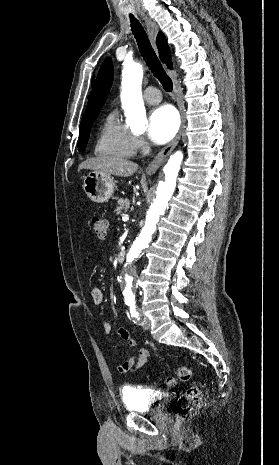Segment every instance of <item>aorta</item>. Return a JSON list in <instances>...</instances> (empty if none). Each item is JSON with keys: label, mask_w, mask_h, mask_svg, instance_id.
<instances>
[{"label": "aorta", "mask_w": 279, "mask_h": 465, "mask_svg": "<svg viewBox=\"0 0 279 465\" xmlns=\"http://www.w3.org/2000/svg\"><path fill=\"white\" fill-rule=\"evenodd\" d=\"M142 79V65L139 63H130L124 66L121 92L122 107L125 111L128 124L136 130H144L146 124V112L142 99ZM182 160L183 153L177 151L170 157L167 165L163 168L165 181L159 183L156 198L147 212L145 225L127 254L125 274L121 280L123 295L126 301L134 298L135 276L132 265L141 251L151 241L156 224L168 206V202L175 190L176 179Z\"/></svg>", "instance_id": "aorta-1"}]
</instances>
